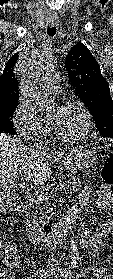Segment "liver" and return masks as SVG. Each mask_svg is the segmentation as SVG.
<instances>
[{"label": "liver", "instance_id": "liver-1", "mask_svg": "<svg viewBox=\"0 0 113 279\" xmlns=\"http://www.w3.org/2000/svg\"><path fill=\"white\" fill-rule=\"evenodd\" d=\"M64 155V152L49 155L25 145L19 138L0 133V208L17 188L20 173L27 175L32 184L42 185L52 174L49 161L56 163Z\"/></svg>", "mask_w": 113, "mask_h": 279}]
</instances>
